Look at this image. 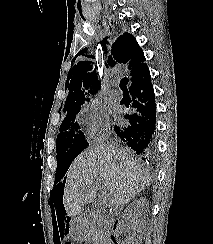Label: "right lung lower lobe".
Here are the masks:
<instances>
[{"instance_id": "98d812e1", "label": "right lung lower lobe", "mask_w": 213, "mask_h": 244, "mask_svg": "<svg viewBox=\"0 0 213 244\" xmlns=\"http://www.w3.org/2000/svg\"><path fill=\"white\" fill-rule=\"evenodd\" d=\"M131 114L124 115L125 123L114 126L116 135L140 158L151 160L156 153L154 131L156 106L149 69L131 84Z\"/></svg>"}]
</instances>
